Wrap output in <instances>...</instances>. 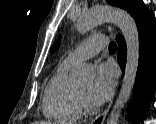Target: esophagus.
<instances>
[{"label":"esophagus","instance_id":"1","mask_svg":"<svg viewBox=\"0 0 156 124\" xmlns=\"http://www.w3.org/2000/svg\"><path fill=\"white\" fill-rule=\"evenodd\" d=\"M112 105V102H110V104L108 105V107L105 109L104 112H102L101 114H99L96 118H94L90 124H103L106 116L110 110V107Z\"/></svg>","mask_w":156,"mask_h":124}]
</instances>
